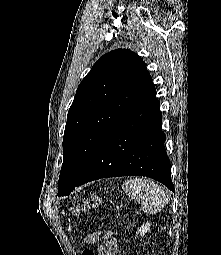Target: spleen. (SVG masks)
I'll list each match as a JSON object with an SVG mask.
<instances>
[{"mask_svg":"<svg viewBox=\"0 0 221 255\" xmlns=\"http://www.w3.org/2000/svg\"><path fill=\"white\" fill-rule=\"evenodd\" d=\"M122 188L129 198L142 204V211L149 214L161 211L170 201L169 191L153 180L145 178L126 180Z\"/></svg>","mask_w":221,"mask_h":255,"instance_id":"spleen-1","label":"spleen"}]
</instances>
